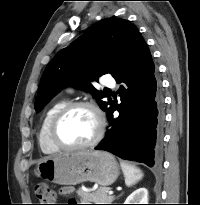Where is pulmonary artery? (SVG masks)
Instances as JSON below:
<instances>
[{"mask_svg": "<svg viewBox=\"0 0 200 205\" xmlns=\"http://www.w3.org/2000/svg\"><path fill=\"white\" fill-rule=\"evenodd\" d=\"M104 84L107 87H114L115 86V81L113 79H107V80H105Z\"/></svg>", "mask_w": 200, "mask_h": 205, "instance_id": "obj_1", "label": "pulmonary artery"}]
</instances>
